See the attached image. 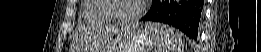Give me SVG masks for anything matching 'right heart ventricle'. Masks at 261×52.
<instances>
[{
	"label": "right heart ventricle",
	"instance_id": "obj_1",
	"mask_svg": "<svg viewBox=\"0 0 261 52\" xmlns=\"http://www.w3.org/2000/svg\"><path fill=\"white\" fill-rule=\"evenodd\" d=\"M108 0H85L83 15L87 22L92 24L114 23L107 9Z\"/></svg>",
	"mask_w": 261,
	"mask_h": 52
}]
</instances>
